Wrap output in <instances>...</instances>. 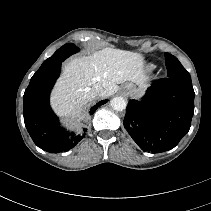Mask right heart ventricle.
Listing matches in <instances>:
<instances>
[{"label":"right heart ventricle","mask_w":211,"mask_h":211,"mask_svg":"<svg viewBox=\"0 0 211 211\" xmlns=\"http://www.w3.org/2000/svg\"><path fill=\"white\" fill-rule=\"evenodd\" d=\"M152 68H153V66L151 65V66H150V69H152Z\"/></svg>","instance_id":"1"}]
</instances>
